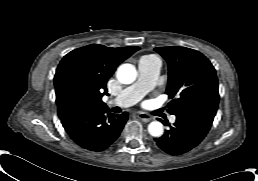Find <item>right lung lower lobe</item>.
<instances>
[{
    "mask_svg": "<svg viewBox=\"0 0 258 181\" xmlns=\"http://www.w3.org/2000/svg\"><path fill=\"white\" fill-rule=\"evenodd\" d=\"M59 118L76 144L99 152L107 149L118 138L128 120V113L114 115L107 107L87 108L67 111L59 114Z\"/></svg>",
    "mask_w": 258,
    "mask_h": 181,
    "instance_id": "right-lung-lower-lobe-1",
    "label": "right lung lower lobe"
}]
</instances>
